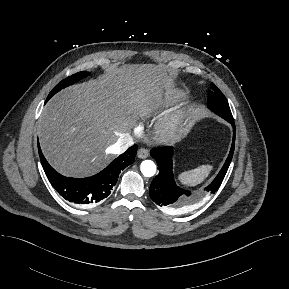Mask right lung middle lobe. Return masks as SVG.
<instances>
[{"mask_svg":"<svg viewBox=\"0 0 289 289\" xmlns=\"http://www.w3.org/2000/svg\"><path fill=\"white\" fill-rule=\"evenodd\" d=\"M89 75L88 72H78L74 75H71L69 77H67L66 79L62 80L61 82H59L50 92V94L47 97L46 102L54 95L56 94L58 91H60L61 89L74 84L75 82H77L78 80L85 78Z\"/></svg>","mask_w":289,"mask_h":289,"instance_id":"dd1d6c3e","label":"right lung middle lobe"}]
</instances>
